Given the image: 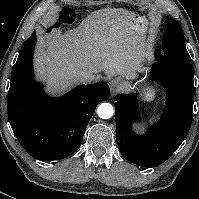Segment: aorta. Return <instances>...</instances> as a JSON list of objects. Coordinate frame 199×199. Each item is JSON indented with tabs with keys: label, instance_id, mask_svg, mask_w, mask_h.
Returning <instances> with one entry per match:
<instances>
[{
	"label": "aorta",
	"instance_id": "obj_1",
	"mask_svg": "<svg viewBox=\"0 0 199 199\" xmlns=\"http://www.w3.org/2000/svg\"><path fill=\"white\" fill-rule=\"evenodd\" d=\"M113 112V106L110 103H101L97 109L98 116L102 119L111 118Z\"/></svg>",
	"mask_w": 199,
	"mask_h": 199
}]
</instances>
